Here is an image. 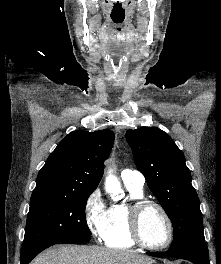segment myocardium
<instances>
[{
	"label": "myocardium",
	"mask_w": 221,
	"mask_h": 264,
	"mask_svg": "<svg viewBox=\"0 0 221 264\" xmlns=\"http://www.w3.org/2000/svg\"><path fill=\"white\" fill-rule=\"evenodd\" d=\"M147 207H155L157 208L161 214L163 215L167 226H168V239L166 242L162 245L154 246L146 243L141 235V216L143 211ZM127 223H128V231L131 239L133 242L137 245H139L142 248L148 249V250H153V251H160L164 250L167 247L171 245L174 239V225L172 222V219L167 212V210L158 202L146 199V198H141L134 200L129 203L127 207Z\"/></svg>",
	"instance_id": "1"
}]
</instances>
